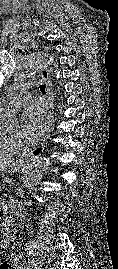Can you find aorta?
<instances>
[{
	"label": "aorta",
	"mask_w": 118,
	"mask_h": 269,
	"mask_svg": "<svg viewBox=\"0 0 118 269\" xmlns=\"http://www.w3.org/2000/svg\"><path fill=\"white\" fill-rule=\"evenodd\" d=\"M52 61V57L43 52H37L26 56L20 64L19 72L17 74L18 80L25 79L35 74ZM0 119L5 128L13 129L20 124L21 113L19 110L12 108L9 104H6L0 107ZM50 164L49 158L46 157L34 162L25 171V184H29L37 179L42 178L49 170Z\"/></svg>",
	"instance_id": "762f6f07"
}]
</instances>
